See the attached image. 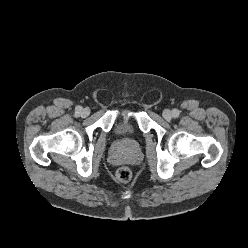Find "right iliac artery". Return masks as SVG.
<instances>
[{
  "label": "right iliac artery",
  "instance_id": "82829eb1",
  "mask_svg": "<svg viewBox=\"0 0 248 248\" xmlns=\"http://www.w3.org/2000/svg\"><path fill=\"white\" fill-rule=\"evenodd\" d=\"M81 110H82V107L81 106H77L76 107V113L77 114H80Z\"/></svg>",
  "mask_w": 248,
  "mask_h": 248
}]
</instances>
